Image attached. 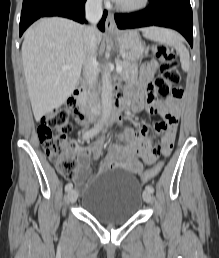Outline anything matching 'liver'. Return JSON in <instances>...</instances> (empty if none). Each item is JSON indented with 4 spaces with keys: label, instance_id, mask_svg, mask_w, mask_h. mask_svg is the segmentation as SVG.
<instances>
[{
    "label": "liver",
    "instance_id": "1",
    "mask_svg": "<svg viewBox=\"0 0 219 258\" xmlns=\"http://www.w3.org/2000/svg\"><path fill=\"white\" fill-rule=\"evenodd\" d=\"M85 27L61 17L43 18L24 34L22 64L34 116L60 107L73 92L82 67L91 57L84 42ZM102 35L96 34L97 46ZM63 65L72 66L63 70Z\"/></svg>",
    "mask_w": 219,
    "mask_h": 258
}]
</instances>
